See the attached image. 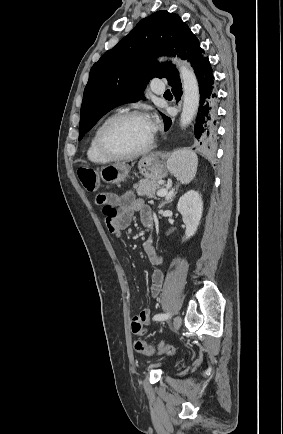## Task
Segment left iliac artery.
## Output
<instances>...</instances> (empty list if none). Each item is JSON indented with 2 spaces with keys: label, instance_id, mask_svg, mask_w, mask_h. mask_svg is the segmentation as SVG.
<instances>
[{
  "label": "left iliac artery",
  "instance_id": "obj_1",
  "mask_svg": "<svg viewBox=\"0 0 283 434\" xmlns=\"http://www.w3.org/2000/svg\"><path fill=\"white\" fill-rule=\"evenodd\" d=\"M171 314L170 313H165V314H157L154 316V320L156 321H163V320H167L168 318H170Z\"/></svg>",
  "mask_w": 283,
  "mask_h": 434
}]
</instances>
